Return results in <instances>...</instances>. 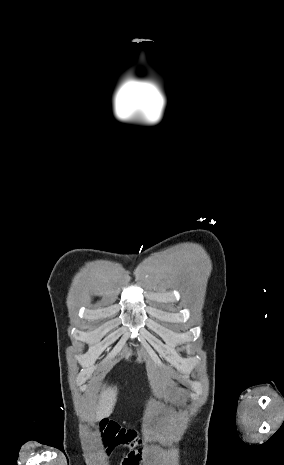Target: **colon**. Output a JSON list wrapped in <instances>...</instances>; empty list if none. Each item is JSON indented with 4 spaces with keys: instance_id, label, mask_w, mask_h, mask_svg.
I'll return each mask as SVG.
<instances>
[{
    "instance_id": "1",
    "label": "colon",
    "mask_w": 284,
    "mask_h": 465,
    "mask_svg": "<svg viewBox=\"0 0 284 465\" xmlns=\"http://www.w3.org/2000/svg\"><path fill=\"white\" fill-rule=\"evenodd\" d=\"M104 439L102 452L106 457H113L119 446H135L130 450L124 465H138L143 455V441L138 433L133 430H125L117 423L108 422L104 425Z\"/></svg>"
}]
</instances>
